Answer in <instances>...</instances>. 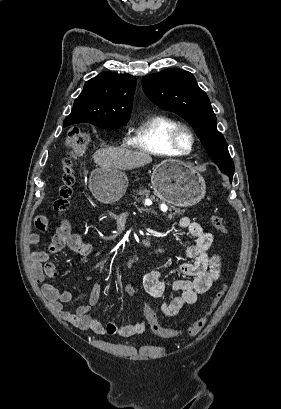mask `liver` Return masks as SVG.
Here are the masks:
<instances>
[{
	"label": "liver",
	"mask_w": 281,
	"mask_h": 409,
	"mask_svg": "<svg viewBox=\"0 0 281 409\" xmlns=\"http://www.w3.org/2000/svg\"><path fill=\"white\" fill-rule=\"evenodd\" d=\"M92 158L102 168H120V170H131L152 162V156L145 150H128V148H100L94 152Z\"/></svg>",
	"instance_id": "obj_1"
}]
</instances>
